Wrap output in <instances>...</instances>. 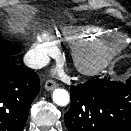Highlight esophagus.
Returning a JSON list of instances; mask_svg holds the SVG:
<instances>
[{
	"instance_id": "34e87169",
	"label": "esophagus",
	"mask_w": 131,
	"mask_h": 131,
	"mask_svg": "<svg viewBox=\"0 0 131 131\" xmlns=\"http://www.w3.org/2000/svg\"><path fill=\"white\" fill-rule=\"evenodd\" d=\"M57 87V83L53 80H47L45 82V89L51 91Z\"/></svg>"
}]
</instances>
